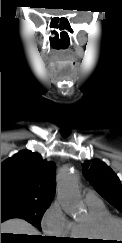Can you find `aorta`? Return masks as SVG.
<instances>
[{"instance_id": "762f6f07", "label": "aorta", "mask_w": 122, "mask_h": 243, "mask_svg": "<svg viewBox=\"0 0 122 243\" xmlns=\"http://www.w3.org/2000/svg\"><path fill=\"white\" fill-rule=\"evenodd\" d=\"M57 194L63 210L68 215L76 217L81 213L78 178L69 167L62 168L57 174Z\"/></svg>"}]
</instances>
